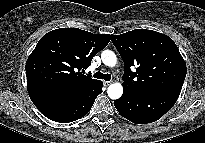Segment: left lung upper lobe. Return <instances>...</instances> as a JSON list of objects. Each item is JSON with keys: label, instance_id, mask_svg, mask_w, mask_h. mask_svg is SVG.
I'll return each instance as SVG.
<instances>
[{"label": "left lung upper lobe", "instance_id": "5c2ea615", "mask_svg": "<svg viewBox=\"0 0 205 143\" xmlns=\"http://www.w3.org/2000/svg\"><path fill=\"white\" fill-rule=\"evenodd\" d=\"M111 40L124 61L123 89L144 93L176 87L182 89L186 63L176 44L162 33L135 29ZM136 71H132V68Z\"/></svg>", "mask_w": 205, "mask_h": 143}]
</instances>
